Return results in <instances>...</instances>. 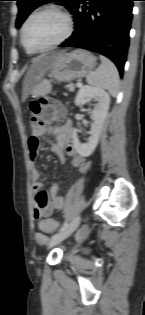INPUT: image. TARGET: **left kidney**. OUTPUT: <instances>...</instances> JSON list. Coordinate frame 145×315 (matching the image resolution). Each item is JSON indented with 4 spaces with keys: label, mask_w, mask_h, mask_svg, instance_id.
Masks as SVG:
<instances>
[{
    "label": "left kidney",
    "mask_w": 145,
    "mask_h": 315,
    "mask_svg": "<svg viewBox=\"0 0 145 315\" xmlns=\"http://www.w3.org/2000/svg\"><path fill=\"white\" fill-rule=\"evenodd\" d=\"M86 97L94 98L97 101V104L90 112V117L93 120V123L91 124V130L89 132L90 137L88 138V142L84 144L81 143L77 136V129L73 130L74 148L78 152V154L83 157H88L94 152L98 144L100 133L110 104V97L108 93H106L102 89L86 85L81 87L76 95V106H79Z\"/></svg>",
    "instance_id": "1"
}]
</instances>
